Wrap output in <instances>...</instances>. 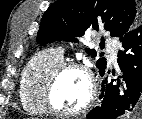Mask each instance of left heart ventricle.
<instances>
[{
	"mask_svg": "<svg viewBox=\"0 0 142 119\" xmlns=\"http://www.w3.org/2000/svg\"><path fill=\"white\" fill-rule=\"evenodd\" d=\"M89 95V83L86 76L78 70H69L60 78L55 92L56 105L65 111L81 107Z\"/></svg>",
	"mask_w": 142,
	"mask_h": 119,
	"instance_id": "obj_1",
	"label": "left heart ventricle"
}]
</instances>
